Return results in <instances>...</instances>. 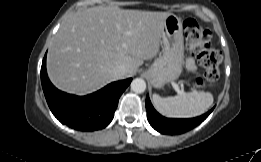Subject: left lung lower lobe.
Segmentation results:
<instances>
[{"mask_svg":"<svg viewBox=\"0 0 261 162\" xmlns=\"http://www.w3.org/2000/svg\"><path fill=\"white\" fill-rule=\"evenodd\" d=\"M146 110L148 121L150 125L162 134H182L185 133L194 127L198 126L201 122H203L209 114L212 112L213 109L208 111L207 113L190 119H172V118H165L160 115L152 106L149 97H146Z\"/></svg>","mask_w":261,"mask_h":162,"instance_id":"0a47b994","label":"left lung lower lobe"}]
</instances>
